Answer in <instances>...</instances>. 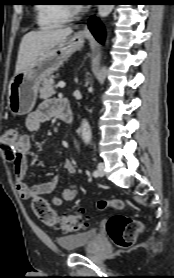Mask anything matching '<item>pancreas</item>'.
I'll list each match as a JSON object with an SVG mask.
<instances>
[{"instance_id": "1", "label": "pancreas", "mask_w": 174, "mask_h": 278, "mask_svg": "<svg viewBox=\"0 0 174 278\" xmlns=\"http://www.w3.org/2000/svg\"><path fill=\"white\" fill-rule=\"evenodd\" d=\"M53 78L54 77H50L43 81L42 87L40 88L41 99L49 98L56 93L55 91L56 86L54 85Z\"/></svg>"}]
</instances>
